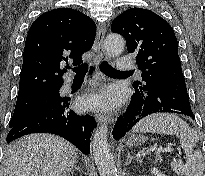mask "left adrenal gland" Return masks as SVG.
<instances>
[{
    "instance_id": "obj_1",
    "label": "left adrenal gland",
    "mask_w": 205,
    "mask_h": 176,
    "mask_svg": "<svg viewBox=\"0 0 205 176\" xmlns=\"http://www.w3.org/2000/svg\"><path fill=\"white\" fill-rule=\"evenodd\" d=\"M133 160H138V157H134L130 154V152H128L127 153L126 165H129Z\"/></svg>"
}]
</instances>
